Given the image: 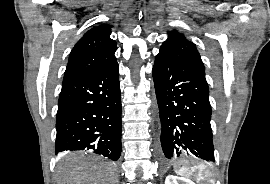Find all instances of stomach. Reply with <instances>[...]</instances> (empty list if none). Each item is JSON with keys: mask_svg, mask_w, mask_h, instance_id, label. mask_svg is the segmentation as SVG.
Returning <instances> with one entry per match:
<instances>
[{"mask_svg": "<svg viewBox=\"0 0 270 184\" xmlns=\"http://www.w3.org/2000/svg\"><path fill=\"white\" fill-rule=\"evenodd\" d=\"M185 167H187V166L183 162H177V163L174 164V170L177 173H179L181 171V169L185 168Z\"/></svg>", "mask_w": 270, "mask_h": 184, "instance_id": "obj_1", "label": "stomach"}]
</instances>
